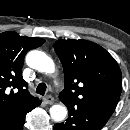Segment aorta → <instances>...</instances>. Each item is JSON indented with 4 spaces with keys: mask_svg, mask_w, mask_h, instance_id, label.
<instances>
[{
    "mask_svg": "<svg viewBox=\"0 0 130 130\" xmlns=\"http://www.w3.org/2000/svg\"><path fill=\"white\" fill-rule=\"evenodd\" d=\"M26 63L29 67L40 72L53 74L55 64L53 60L44 52L32 50L26 55ZM67 116V108L64 105L56 104L50 108V117L55 122H62Z\"/></svg>",
    "mask_w": 130,
    "mask_h": 130,
    "instance_id": "obj_1",
    "label": "aorta"
}]
</instances>
